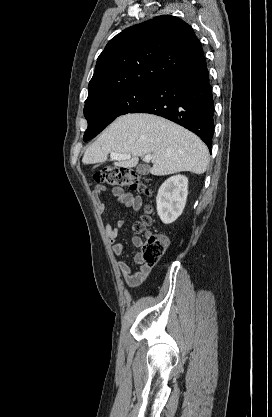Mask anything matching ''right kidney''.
Returning <instances> with one entry per match:
<instances>
[{"label": "right kidney", "mask_w": 272, "mask_h": 417, "mask_svg": "<svg viewBox=\"0 0 272 417\" xmlns=\"http://www.w3.org/2000/svg\"><path fill=\"white\" fill-rule=\"evenodd\" d=\"M188 195V178L176 175L168 178L156 197L157 213L164 224L173 223L183 212Z\"/></svg>", "instance_id": "obj_1"}]
</instances>
